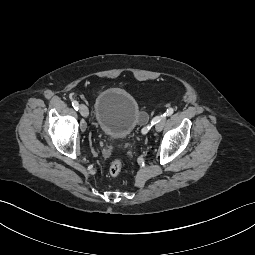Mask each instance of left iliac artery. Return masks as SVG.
I'll return each instance as SVG.
<instances>
[{"label":"left iliac artery","mask_w":255,"mask_h":255,"mask_svg":"<svg viewBox=\"0 0 255 255\" xmlns=\"http://www.w3.org/2000/svg\"><path fill=\"white\" fill-rule=\"evenodd\" d=\"M173 112H174V109H173V108H168V109L166 110V112H165L163 115H164V116H170V115L173 114ZM158 122H159V119H158V116H157V117L153 118V120L151 121V125H154V124H156V123H158ZM150 128H151V126L145 127V128L142 130V134H143V135H146L147 132H148V130H149Z\"/></svg>","instance_id":"left-iliac-artery-1"}]
</instances>
